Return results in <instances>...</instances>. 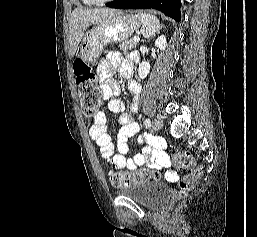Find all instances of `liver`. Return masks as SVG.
I'll return each instance as SVG.
<instances>
[{
    "instance_id": "liver-1",
    "label": "liver",
    "mask_w": 257,
    "mask_h": 237,
    "mask_svg": "<svg viewBox=\"0 0 257 237\" xmlns=\"http://www.w3.org/2000/svg\"><path fill=\"white\" fill-rule=\"evenodd\" d=\"M118 11L115 9L76 8L69 21L70 54L73 57L86 29L93 24L108 19Z\"/></svg>"
}]
</instances>
